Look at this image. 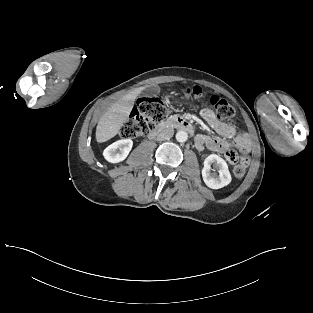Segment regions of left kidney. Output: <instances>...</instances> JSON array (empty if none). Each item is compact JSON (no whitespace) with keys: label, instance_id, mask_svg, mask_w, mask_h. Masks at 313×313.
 Returning <instances> with one entry per match:
<instances>
[{"label":"left kidney","instance_id":"5707ae66","mask_svg":"<svg viewBox=\"0 0 313 313\" xmlns=\"http://www.w3.org/2000/svg\"><path fill=\"white\" fill-rule=\"evenodd\" d=\"M212 163H215L219 168V177L217 178L213 177L210 173ZM202 177L205 184L212 189H219L227 186L232 180L227 163L224 159L216 154H211L204 160Z\"/></svg>","mask_w":313,"mask_h":313}]
</instances>
